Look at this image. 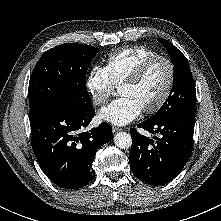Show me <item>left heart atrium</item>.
<instances>
[{"mask_svg":"<svg viewBox=\"0 0 221 221\" xmlns=\"http://www.w3.org/2000/svg\"><path fill=\"white\" fill-rule=\"evenodd\" d=\"M141 106L131 97L122 96L101 109V119L122 126L136 119L142 112Z\"/></svg>","mask_w":221,"mask_h":221,"instance_id":"1","label":"left heart atrium"}]
</instances>
